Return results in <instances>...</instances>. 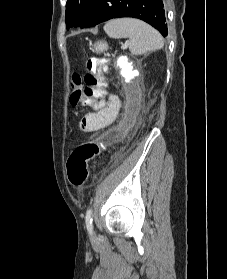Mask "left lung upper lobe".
<instances>
[{"label":"left lung upper lobe","mask_w":227,"mask_h":279,"mask_svg":"<svg viewBox=\"0 0 227 279\" xmlns=\"http://www.w3.org/2000/svg\"><path fill=\"white\" fill-rule=\"evenodd\" d=\"M95 0H67L66 27L81 26Z\"/></svg>","instance_id":"obj_1"}]
</instances>
